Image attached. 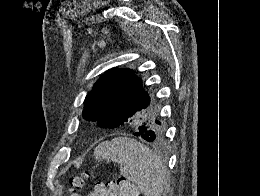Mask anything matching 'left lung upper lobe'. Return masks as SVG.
<instances>
[{
    "label": "left lung upper lobe",
    "mask_w": 260,
    "mask_h": 196,
    "mask_svg": "<svg viewBox=\"0 0 260 196\" xmlns=\"http://www.w3.org/2000/svg\"><path fill=\"white\" fill-rule=\"evenodd\" d=\"M111 106H127L133 108L134 113L121 125L98 124L97 120ZM83 118L95 121L103 128L125 126L133 130L140 125H147L154 137L152 142H161L165 138L166 122L161 116L157 100L151 99L142 89V80L130 69H113L102 75L85 98Z\"/></svg>",
    "instance_id": "1"
}]
</instances>
